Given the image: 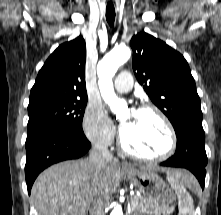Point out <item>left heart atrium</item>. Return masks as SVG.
<instances>
[{"instance_id":"obj_1","label":"left heart atrium","mask_w":221,"mask_h":215,"mask_svg":"<svg viewBox=\"0 0 221 215\" xmlns=\"http://www.w3.org/2000/svg\"><path fill=\"white\" fill-rule=\"evenodd\" d=\"M135 112H136L135 110L131 111L132 114H134ZM123 127H124V123H122V125H121V130L123 129Z\"/></svg>"}]
</instances>
